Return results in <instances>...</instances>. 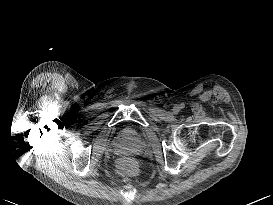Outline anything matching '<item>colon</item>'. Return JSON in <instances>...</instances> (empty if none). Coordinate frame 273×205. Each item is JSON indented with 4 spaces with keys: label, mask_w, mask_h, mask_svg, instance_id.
Listing matches in <instances>:
<instances>
[{
    "label": "colon",
    "mask_w": 273,
    "mask_h": 205,
    "mask_svg": "<svg viewBox=\"0 0 273 205\" xmlns=\"http://www.w3.org/2000/svg\"><path fill=\"white\" fill-rule=\"evenodd\" d=\"M136 164L131 159H123L119 163V171L124 176H129L134 173Z\"/></svg>",
    "instance_id": "5ec220e1"
}]
</instances>
